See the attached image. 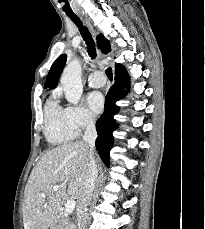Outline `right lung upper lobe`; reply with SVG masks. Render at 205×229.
I'll return each instance as SVG.
<instances>
[{
  "mask_svg": "<svg viewBox=\"0 0 205 229\" xmlns=\"http://www.w3.org/2000/svg\"><path fill=\"white\" fill-rule=\"evenodd\" d=\"M98 46L102 49L103 53H107L110 50V45L109 41L104 38L103 35H99L98 38ZM66 55L62 54L51 66V69L48 73L46 82H45V87H50L56 85L57 80L59 79V76L63 70V67L65 66L66 63ZM120 64H116L118 66Z\"/></svg>",
  "mask_w": 205,
  "mask_h": 229,
  "instance_id": "1",
  "label": "right lung upper lobe"
}]
</instances>
